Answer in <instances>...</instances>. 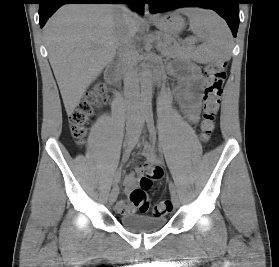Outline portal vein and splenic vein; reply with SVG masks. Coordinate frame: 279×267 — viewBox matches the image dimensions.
<instances>
[{
	"label": "portal vein and splenic vein",
	"instance_id": "obj_1",
	"mask_svg": "<svg viewBox=\"0 0 279 267\" xmlns=\"http://www.w3.org/2000/svg\"><path fill=\"white\" fill-rule=\"evenodd\" d=\"M189 41H190V42H193V41H194V39H190Z\"/></svg>",
	"mask_w": 279,
	"mask_h": 267
}]
</instances>
